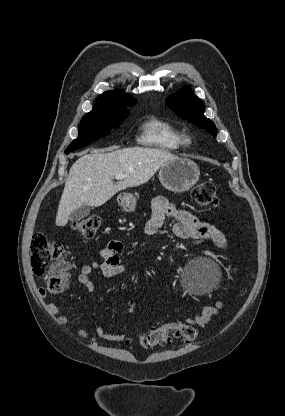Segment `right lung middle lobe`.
I'll use <instances>...</instances> for the list:
<instances>
[{"mask_svg": "<svg viewBox=\"0 0 285 416\" xmlns=\"http://www.w3.org/2000/svg\"><path fill=\"white\" fill-rule=\"evenodd\" d=\"M128 114L127 108L118 110L92 109L81 120L79 136L66 148L65 153L79 149L98 138L108 135L111 129L118 127Z\"/></svg>", "mask_w": 285, "mask_h": 416, "instance_id": "dd1d6c3e", "label": "right lung middle lobe"}]
</instances>
